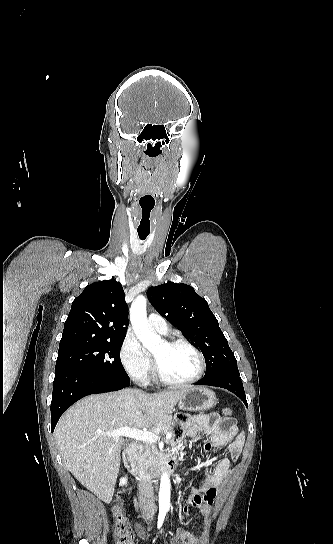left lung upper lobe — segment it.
I'll return each mask as SVG.
<instances>
[{
	"instance_id": "1",
	"label": "left lung upper lobe",
	"mask_w": 333,
	"mask_h": 544,
	"mask_svg": "<svg viewBox=\"0 0 333 544\" xmlns=\"http://www.w3.org/2000/svg\"><path fill=\"white\" fill-rule=\"evenodd\" d=\"M147 296L160 315L198 345L206 360L204 378L221 373L239 374L234 353L216 317L193 287L167 282L149 288Z\"/></svg>"
}]
</instances>
